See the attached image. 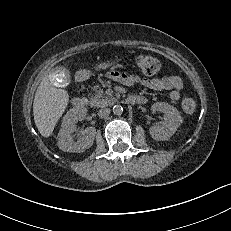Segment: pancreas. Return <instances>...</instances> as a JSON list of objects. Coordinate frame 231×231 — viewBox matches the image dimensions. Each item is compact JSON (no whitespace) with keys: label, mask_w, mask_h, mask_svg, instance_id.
<instances>
[{"label":"pancreas","mask_w":231,"mask_h":231,"mask_svg":"<svg viewBox=\"0 0 231 231\" xmlns=\"http://www.w3.org/2000/svg\"><path fill=\"white\" fill-rule=\"evenodd\" d=\"M96 93L90 98V105L95 107H104L112 103L113 98L108 97L102 89L95 87Z\"/></svg>","instance_id":"cf45deb5"}]
</instances>
